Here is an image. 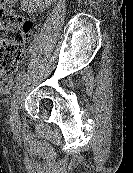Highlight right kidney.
<instances>
[{"label":"right kidney","mask_w":133,"mask_h":173,"mask_svg":"<svg viewBox=\"0 0 133 173\" xmlns=\"http://www.w3.org/2000/svg\"><path fill=\"white\" fill-rule=\"evenodd\" d=\"M55 0H22L21 9L28 12H36L38 7L47 5Z\"/></svg>","instance_id":"1"}]
</instances>
